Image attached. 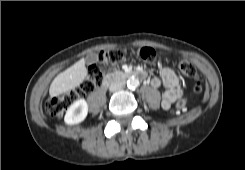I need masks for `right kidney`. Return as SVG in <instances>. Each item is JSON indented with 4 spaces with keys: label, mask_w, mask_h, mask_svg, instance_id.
<instances>
[{
    "label": "right kidney",
    "mask_w": 245,
    "mask_h": 170,
    "mask_svg": "<svg viewBox=\"0 0 245 170\" xmlns=\"http://www.w3.org/2000/svg\"><path fill=\"white\" fill-rule=\"evenodd\" d=\"M88 104L84 99L75 101L68 109L64 118L66 124H78L86 118Z\"/></svg>",
    "instance_id": "obj_1"
}]
</instances>
